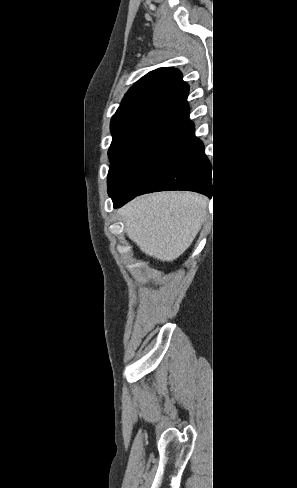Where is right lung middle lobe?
<instances>
[{"instance_id":"1","label":"right lung middle lobe","mask_w":297,"mask_h":488,"mask_svg":"<svg viewBox=\"0 0 297 488\" xmlns=\"http://www.w3.org/2000/svg\"><path fill=\"white\" fill-rule=\"evenodd\" d=\"M176 132L136 131L113 137L108 155V194L117 198L127 193L152 158Z\"/></svg>"}]
</instances>
